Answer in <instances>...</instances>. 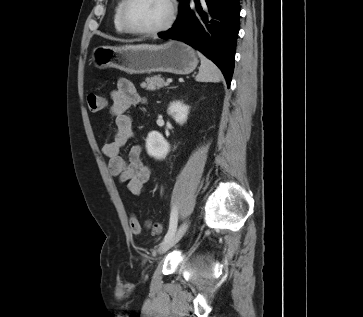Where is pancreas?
<instances>
[{
    "label": "pancreas",
    "instance_id": "obj_1",
    "mask_svg": "<svg viewBox=\"0 0 363 317\" xmlns=\"http://www.w3.org/2000/svg\"><path fill=\"white\" fill-rule=\"evenodd\" d=\"M164 86H167V83L165 82L164 78L161 77V75L147 77L145 79V82L141 83L142 88H146L147 90H150V91H155Z\"/></svg>",
    "mask_w": 363,
    "mask_h": 317
}]
</instances>
